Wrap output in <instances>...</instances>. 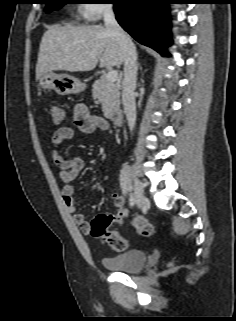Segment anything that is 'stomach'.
<instances>
[{"label": "stomach", "mask_w": 236, "mask_h": 321, "mask_svg": "<svg viewBox=\"0 0 236 321\" xmlns=\"http://www.w3.org/2000/svg\"><path fill=\"white\" fill-rule=\"evenodd\" d=\"M39 86L43 90H54L60 95L79 93L86 85L66 74L45 73L39 78Z\"/></svg>", "instance_id": "stomach-1"}]
</instances>
